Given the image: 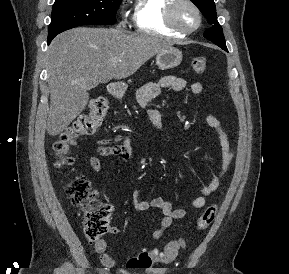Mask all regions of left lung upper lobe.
Returning <instances> with one entry per match:
<instances>
[{"instance_id": "1", "label": "left lung upper lobe", "mask_w": 289, "mask_h": 274, "mask_svg": "<svg viewBox=\"0 0 289 274\" xmlns=\"http://www.w3.org/2000/svg\"><path fill=\"white\" fill-rule=\"evenodd\" d=\"M202 12L211 27L204 33V37L222 49H226L225 38L221 25L217 21L216 6L213 0H191Z\"/></svg>"}]
</instances>
